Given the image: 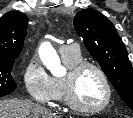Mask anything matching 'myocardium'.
I'll return each mask as SVG.
<instances>
[{
	"instance_id": "1",
	"label": "myocardium",
	"mask_w": 133,
	"mask_h": 118,
	"mask_svg": "<svg viewBox=\"0 0 133 118\" xmlns=\"http://www.w3.org/2000/svg\"><path fill=\"white\" fill-rule=\"evenodd\" d=\"M86 69H93L96 71L101 77L106 89V98L104 102L96 107L84 106L79 103L76 98V84L78 78ZM63 91L64 101L72 110L87 114H96L104 111L110 105L113 97L112 85L107 74L99 65L92 62H80L71 67L63 78Z\"/></svg>"
}]
</instances>
